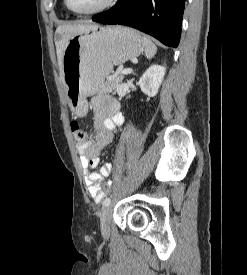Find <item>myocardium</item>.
<instances>
[{
  "label": "myocardium",
  "mask_w": 247,
  "mask_h": 275,
  "mask_svg": "<svg viewBox=\"0 0 247 275\" xmlns=\"http://www.w3.org/2000/svg\"><path fill=\"white\" fill-rule=\"evenodd\" d=\"M117 1H118V0H107L105 3H103V4L100 5L99 7L95 8V9H92V10H89V11H77V10L72 9V8L70 7V5H69L68 0H64V3H65L67 9H68L70 12H72V13H74V14H76V15L87 16V15L98 14V13H101V12H103V11H105V10H108V9H110L111 7H113V6L116 4Z\"/></svg>",
  "instance_id": "1"
}]
</instances>
